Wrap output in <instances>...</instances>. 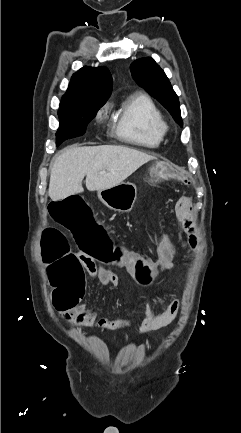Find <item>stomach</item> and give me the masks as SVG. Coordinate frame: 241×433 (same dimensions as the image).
I'll return each mask as SVG.
<instances>
[{
	"mask_svg": "<svg viewBox=\"0 0 241 433\" xmlns=\"http://www.w3.org/2000/svg\"><path fill=\"white\" fill-rule=\"evenodd\" d=\"M99 200L110 210L130 212L137 199V185L127 182L98 191Z\"/></svg>",
	"mask_w": 241,
	"mask_h": 433,
	"instance_id": "stomach-1",
	"label": "stomach"
}]
</instances>
